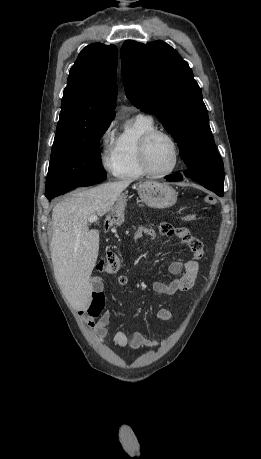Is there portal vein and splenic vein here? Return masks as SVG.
<instances>
[{
	"instance_id": "1",
	"label": "portal vein and splenic vein",
	"mask_w": 261,
	"mask_h": 459,
	"mask_svg": "<svg viewBox=\"0 0 261 459\" xmlns=\"http://www.w3.org/2000/svg\"><path fill=\"white\" fill-rule=\"evenodd\" d=\"M98 220V217L96 215H91L89 218H88V221L90 223H93V222H96Z\"/></svg>"
}]
</instances>
